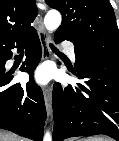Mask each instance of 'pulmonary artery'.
I'll list each match as a JSON object with an SVG mask.
<instances>
[{"label": "pulmonary artery", "mask_w": 119, "mask_h": 141, "mask_svg": "<svg viewBox=\"0 0 119 141\" xmlns=\"http://www.w3.org/2000/svg\"><path fill=\"white\" fill-rule=\"evenodd\" d=\"M66 48H67V52L71 58L72 61H75L76 57H75V51H74V46L70 43H65Z\"/></svg>", "instance_id": "1"}]
</instances>
